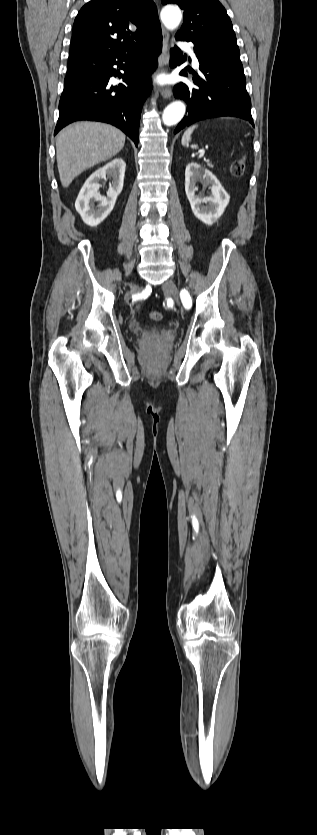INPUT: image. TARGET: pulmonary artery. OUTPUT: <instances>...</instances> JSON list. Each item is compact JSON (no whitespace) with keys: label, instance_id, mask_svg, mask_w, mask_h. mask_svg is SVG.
<instances>
[{"label":"pulmonary artery","instance_id":"pulmonary-artery-1","mask_svg":"<svg viewBox=\"0 0 317 835\" xmlns=\"http://www.w3.org/2000/svg\"><path fill=\"white\" fill-rule=\"evenodd\" d=\"M180 46L183 50H185L186 52H188L191 55L193 64L195 66H198V64H199L198 59H197L192 47L189 44H186V43H182Z\"/></svg>","mask_w":317,"mask_h":835}]
</instances>
